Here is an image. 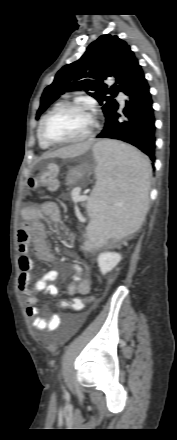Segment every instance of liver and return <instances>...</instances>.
Wrapping results in <instances>:
<instances>
[{
    "label": "liver",
    "instance_id": "obj_1",
    "mask_svg": "<svg viewBox=\"0 0 177 440\" xmlns=\"http://www.w3.org/2000/svg\"><path fill=\"white\" fill-rule=\"evenodd\" d=\"M93 141H85L82 143H77L73 145H69L66 147H63L61 149H58L57 151H54L52 153H48L45 155L46 158L48 157H60V158H72L80 156L84 153H86L90 147L92 146Z\"/></svg>",
    "mask_w": 177,
    "mask_h": 440
}]
</instances>
